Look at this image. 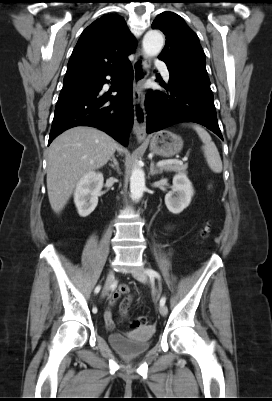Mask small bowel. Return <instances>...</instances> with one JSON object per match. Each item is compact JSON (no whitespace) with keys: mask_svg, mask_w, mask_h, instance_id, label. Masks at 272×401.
Returning <instances> with one entry per match:
<instances>
[{"mask_svg":"<svg viewBox=\"0 0 272 401\" xmlns=\"http://www.w3.org/2000/svg\"><path fill=\"white\" fill-rule=\"evenodd\" d=\"M123 287V289H121ZM129 287L128 285H121L118 289L112 292V294L109 297V306L104 312V319L105 323L109 328H112L114 325L113 318H112V307L121 299L122 296L123 299L120 302V313L126 317L128 314L129 307L132 303L133 297L128 294Z\"/></svg>","mask_w":272,"mask_h":401,"instance_id":"small-bowel-1","label":"small bowel"}]
</instances>
